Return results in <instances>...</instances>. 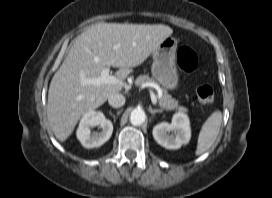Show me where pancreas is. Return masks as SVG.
<instances>
[{
    "mask_svg": "<svg viewBox=\"0 0 272 198\" xmlns=\"http://www.w3.org/2000/svg\"><path fill=\"white\" fill-rule=\"evenodd\" d=\"M155 81L150 78L148 75H140L136 81L135 84L137 86L143 85V84H154ZM158 103L161 107V110H176L178 112H186L187 109L183 106L178 105V101L173 99L171 95L167 93L166 90H163V94L161 97H158Z\"/></svg>",
    "mask_w": 272,
    "mask_h": 198,
    "instance_id": "pancreas-1",
    "label": "pancreas"
}]
</instances>
